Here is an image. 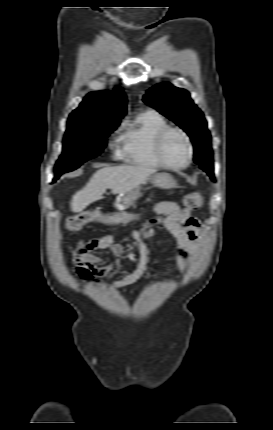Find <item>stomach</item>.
I'll return each mask as SVG.
<instances>
[{
	"label": "stomach",
	"mask_w": 273,
	"mask_h": 430,
	"mask_svg": "<svg viewBox=\"0 0 273 430\" xmlns=\"http://www.w3.org/2000/svg\"><path fill=\"white\" fill-rule=\"evenodd\" d=\"M147 180H151L155 186L163 189H172L178 187V184L176 183L172 175L168 173H157L152 176H149L146 181ZM146 181L144 183H146ZM140 189L141 187L137 186L130 192L120 195L116 200L115 207L117 209L129 208L133 204V202L140 196Z\"/></svg>",
	"instance_id": "1"
}]
</instances>
